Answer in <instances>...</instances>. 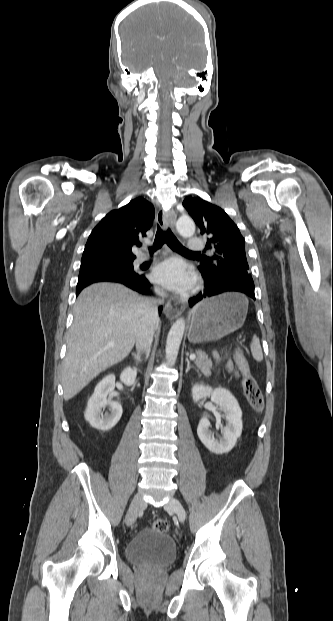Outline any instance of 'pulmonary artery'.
I'll return each instance as SVG.
<instances>
[{
    "mask_svg": "<svg viewBox=\"0 0 333 621\" xmlns=\"http://www.w3.org/2000/svg\"><path fill=\"white\" fill-rule=\"evenodd\" d=\"M204 241L199 238V237H192L189 240V245H188V250L190 251H200L204 249ZM149 257L145 254H140L137 259H136V263H142L143 261L147 260Z\"/></svg>",
    "mask_w": 333,
    "mask_h": 621,
    "instance_id": "1",
    "label": "pulmonary artery"
}]
</instances>
